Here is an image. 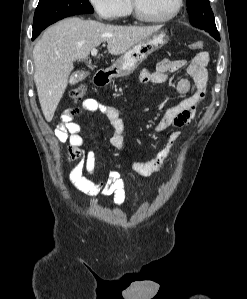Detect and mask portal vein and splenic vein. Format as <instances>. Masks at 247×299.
<instances>
[{
    "label": "portal vein and splenic vein",
    "mask_w": 247,
    "mask_h": 299,
    "mask_svg": "<svg viewBox=\"0 0 247 299\" xmlns=\"http://www.w3.org/2000/svg\"><path fill=\"white\" fill-rule=\"evenodd\" d=\"M91 55H92V56H96V55H97V49H96V48H93V49L91 50Z\"/></svg>",
    "instance_id": "obj_1"
}]
</instances>
